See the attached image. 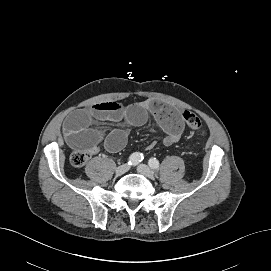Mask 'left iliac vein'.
Instances as JSON below:
<instances>
[{"label":"left iliac vein","instance_id":"left-iliac-vein-1","mask_svg":"<svg viewBox=\"0 0 271 271\" xmlns=\"http://www.w3.org/2000/svg\"><path fill=\"white\" fill-rule=\"evenodd\" d=\"M137 170L139 173L147 176L149 179L153 180L155 178L154 172L145 164L138 165Z\"/></svg>","mask_w":271,"mask_h":271}]
</instances>
